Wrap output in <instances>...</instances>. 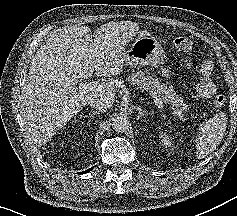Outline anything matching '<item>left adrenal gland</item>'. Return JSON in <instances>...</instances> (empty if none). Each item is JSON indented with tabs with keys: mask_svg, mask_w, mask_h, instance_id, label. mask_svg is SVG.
I'll use <instances>...</instances> for the list:
<instances>
[{
	"mask_svg": "<svg viewBox=\"0 0 237 216\" xmlns=\"http://www.w3.org/2000/svg\"><path fill=\"white\" fill-rule=\"evenodd\" d=\"M137 110H138V116H137L138 120L140 117L144 116L145 111H142L140 108H137Z\"/></svg>",
	"mask_w": 237,
	"mask_h": 216,
	"instance_id": "obj_1",
	"label": "left adrenal gland"
}]
</instances>
